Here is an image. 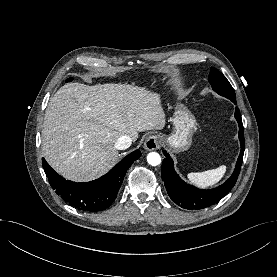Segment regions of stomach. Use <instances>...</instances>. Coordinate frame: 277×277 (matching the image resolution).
<instances>
[{
  "label": "stomach",
  "instance_id": "obj_1",
  "mask_svg": "<svg viewBox=\"0 0 277 277\" xmlns=\"http://www.w3.org/2000/svg\"><path fill=\"white\" fill-rule=\"evenodd\" d=\"M172 121L174 131L165 140L174 151H185L191 146L197 128L195 116L183 104H178Z\"/></svg>",
  "mask_w": 277,
  "mask_h": 277
}]
</instances>
